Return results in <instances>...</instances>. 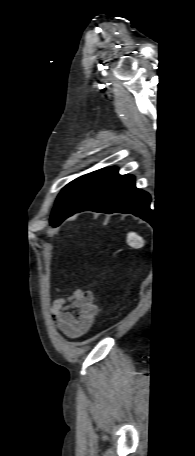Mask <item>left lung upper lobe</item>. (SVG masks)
Listing matches in <instances>:
<instances>
[{
	"mask_svg": "<svg viewBox=\"0 0 195 456\" xmlns=\"http://www.w3.org/2000/svg\"><path fill=\"white\" fill-rule=\"evenodd\" d=\"M115 169L116 167L103 168L67 184L56 200L51 215V225L56 227L64 219L73 215L103 187Z\"/></svg>",
	"mask_w": 195,
	"mask_h": 456,
	"instance_id": "left-lung-upper-lobe-1",
	"label": "left lung upper lobe"
}]
</instances>
